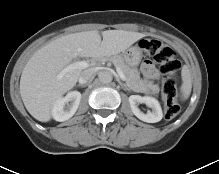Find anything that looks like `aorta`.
I'll return each instance as SVG.
<instances>
[{
    "label": "aorta",
    "mask_w": 219,
    "mask_h": 174,
    "mask_svg": "<svg viewBox=\"0 0 219 174\" xmlns=\"http://www.w3.org/2000/svg\"><path fill=\"white\" fill-rule=\"evenodd\" d=\"M113 75L109 71H102L99 73V80L101 83L108 84L112 81Z\"/></svg>",
    "instance_id": "obj_1"
}]
</instances>
